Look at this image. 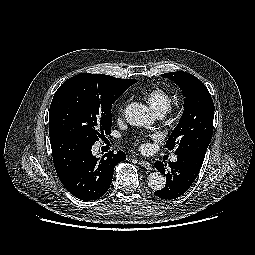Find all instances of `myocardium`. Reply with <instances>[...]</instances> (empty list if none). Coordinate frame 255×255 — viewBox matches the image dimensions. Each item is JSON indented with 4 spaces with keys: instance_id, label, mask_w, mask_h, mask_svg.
<instances>
[{
    "instance_id": "obj_1",
    "label": "myocardium",
    "mask_w": 255,
    "mask_h": 255,
    "mask_svg": "<svg viewBox=\"0 0 255 255\" xmlns=\"http://www.w3.org/2000/svg\"><path fill=\"white\" fill-rule=\"evenodd\" d=\"M179 116H180V112H175L172 115V119L176 120V119H178Z\"/></svg>"
}]
</instances>
